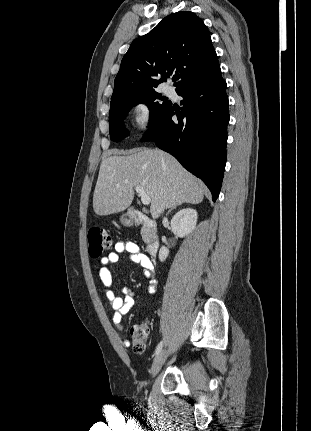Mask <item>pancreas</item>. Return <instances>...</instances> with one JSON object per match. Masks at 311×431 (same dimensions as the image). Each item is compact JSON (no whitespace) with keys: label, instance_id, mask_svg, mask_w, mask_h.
Masks as SVG:
<instances>
[{"label":"pancreas","instance_id":"1","mask_svg":"<svg viewBox=\"0 0 311 431\" xmlns=\"http://www.w3.org/2000/svg\"><path fill=\"white\" fill-rule=\"evenodd\" d=\"M141 235H142V239H143V241H145V243H150V241H152V229H151V227H146V225H143V227H141Z\"/></svg>","mask_w":311,"mask_h":431}]
</instances>
